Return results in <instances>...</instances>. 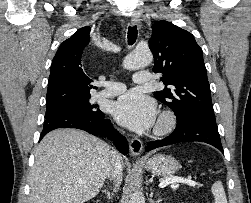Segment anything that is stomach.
<instances>
[{
	"label": "stomach",
	"instance_id": "0dacf381",
	"mask_svg": "<svg viewBox=\"0 0 251 203\" xmlns=\"http://www.w3.org/2000/svg\"><path fill=\"white\" fill-rule=\"evenodd\" d=\"M144 165L148 171L157 176H171L180 168L178 160L170 155L159 154L146 161Z\"/></svg>",
	"mask_w": 251,
	"mask_h": 203
}]
</instances>
